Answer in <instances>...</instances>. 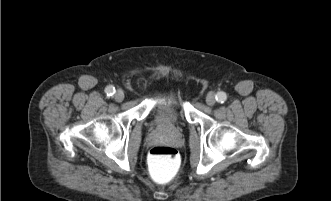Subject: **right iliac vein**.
I'll list each match as a JSON object with an SVG mask.
<instances>
[{
	"label": "right iliac vein",
	"mask_w": 331,
	"mask_h": 201,
	"mask_svg": "<svg viewBox=\"0 0 331 201\" xmlns=\"http://www.w3.org/2000/svg\"><path fill=\"white\" fill-rule=\"evenodd\" d=\"M114 98L118 102L123 101V99H124V92L122 90H120V89L117 90L116 93H115V95H114Z\"/></svg>",
	"instance_id": "right-iliac-vein-1"
}]
</instances>
